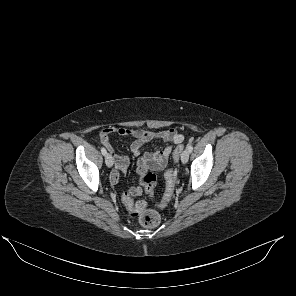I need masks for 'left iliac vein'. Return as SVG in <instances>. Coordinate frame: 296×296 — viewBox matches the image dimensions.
I'll return each mask as SVG.
<instances>
[{
	"label": "left iliac vein",
	"instance_id": "left-iliac-vein-1",
	"mask_svg": "<svg viewBox=\"0 0 296 296\" xmlns=\"http://www.w3.org/2000/svg\"><path fill=\"white\" fill-rule=\"evenodd\" d=\"M188 159H189V151L186 149L181 154V161L183 164H186L188 162Z\"/></svg>",
	"mask_w": 296,
	"mask_h": 296
}]
</instances>
